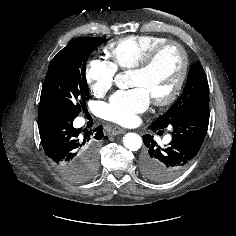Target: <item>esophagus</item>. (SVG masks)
Segmentation results:
<instances>
[{
    "mask_svg": "<svg viewBox=\"0 0 236 236\" xmlns=\"http://www.w3.org/2000/svg\"><path fill=\"white\" fill-rule=\"evenodd\" d=\"M125 132H126V130L123 129V128H121V127H115V128H113V130H112V134H113V135L123 134V133H125Z\"/></svg>",
    "mask_w": 236,
    "mask_h": 236,
    "instance_id": "1",
    "label": "esophagus"
}]
</instances>
